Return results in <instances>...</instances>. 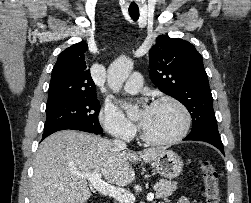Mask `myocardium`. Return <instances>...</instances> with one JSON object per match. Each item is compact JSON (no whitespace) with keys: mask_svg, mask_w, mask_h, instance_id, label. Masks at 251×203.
<instances>
[{"mask_svg":"<svg viewBox=\"0 0 251 203\" xmlns=\"http://www.w3.org/2000/svg\"><path fill=\"white\" fill-rule=\"evenodd\" d=\"M163 104H172L180 110L183 116L182 127L176 135L170 138L161 139V140L150 138L149 136L146 135V133L142 130V128H140V131H139L140 138L148 145H152V146L172 145L181 141L183 138H185L189 132V129L191 126V114L188 108L181 101L173 97L159 98L155 100L151 106H159Z\"/></svg>","mask_w":251,"mask_h":203,"instance_id":"f54148a6","label":"myocardium"}]
</instances>
